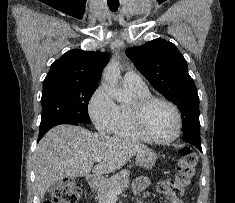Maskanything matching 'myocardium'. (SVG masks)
Wrapping results in <instances>:
<instances>
[{
  "instance_id": "myocardium-1",
  "label": "myocardium",
  "mask_w": 235,
  "mask_h": 203,
  "mask_svg": "<svg viewBox=\"0 0 235 203\" xmlns=\"http://www.w3.org/2000/svg\"><path fill=\"white\" fill-rule=\"evenodd\" d=\"M156 102H162V103L167 104L168 106L172 108V110L175 113L176 121H177L176 132L170 137H167V138L156 137L152 135L145 127V123H144L145 111L147 110L149 106H151L153 103H156ZM129 113H130V118H131L133 127L145 140H148L154 143L166 144V143H171L177 140L182 133L183 120H182L181 112L178 106L174 102H172L171 100L165 97L152 96V95L145 96V97H138L129 105Z\"/></svg>"
}]
</instances>
